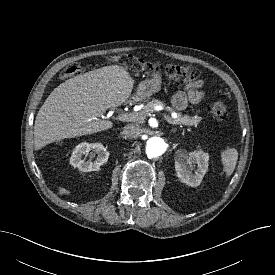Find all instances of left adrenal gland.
Wrapping results in <instances>:
<instances>
[{"label":"left adrenal gland","mask_w":275,"mask_h":275,"mask_svg":"<svg viewBox=\"0 0 275 275\" xmlns=\"http://www.w3.org/2000/svg\"><path fill=\"white\" fill-rule=\"evenodd\" d=\"M171 132H172V133H175V132H176V129H173Z\"/></svg>","instance_id":"obj_1"}]
</instances>
